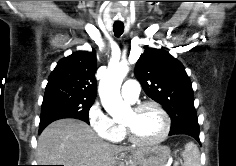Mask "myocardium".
<instances>
[{
	"label": "myocardium",
	"mask_w": 236,
	"mask_h": 166,
	"mask_svg": "<svg viewBox=\"0 0 236 166\" xmlns=\"http://www.w3.org/2000/svg\"><path fill=\"white\" fill-rule=\"evenodd\" d=\"M147 107H153L161 114L163 121H164V127H163L162 133L156 139L145 141V140H141V139L137 138V136L135 135L133 130L128 125L123 123V125H122L123 129H124L126 135L128 136L129 140L133 144L138 145V146L158 145L166 139V137L168 136L169 131H170V126H171L170 117H169L168 113L166 112V110L158 102H156V101L140 102L132 108V111L134 113H139L140 111H142L143 109H145Z\"/></svg>",
	"instance_id": "obj_1"
}]
</instances>
